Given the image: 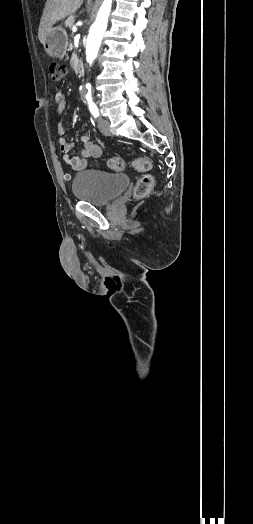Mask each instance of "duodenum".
Instances as JSON below:
<instances>
[{
  "mask_svg": "<svg viewBox=\"0 0 253 524\" xmlns=\"http://www.w3.org/2000/svg\"><path fill=\"white\" fill-rule=\"evenodd\" d=\"M76 72L81 74L84 72V64L82 62H78L76 65Z\"/></svg>",
  "mask_w": 253,
  "mask_h": 524,
  "instance_id": "410a0bca",
  "label": "duodenum"
}]
</instances>
